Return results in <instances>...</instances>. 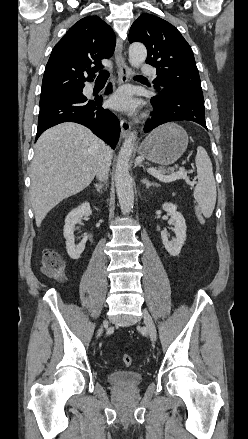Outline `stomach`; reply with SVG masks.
Masks as SVG:
<instances>
[{
    "mask_svg": "<svg viewBox=\"0 0 248 439\" xmlns=\"http://www.w3.org/2000/svg\"><path fill=\"white\" fill-rule=\"evenodd\" d=\"M187 146L186 131L176 123H166L144 139L138 153L159 165H171L180 158Z\"/></svg>",
    "mask_w": 248,
    "mask_h": 439,
    "instance_id": "obj_1",
    "label": "stomach"
}]
</instances>
